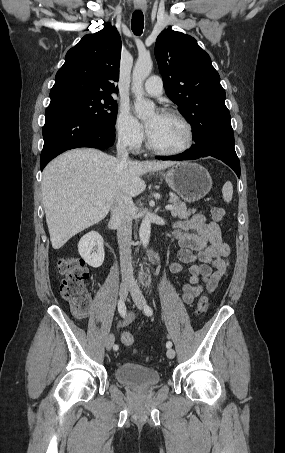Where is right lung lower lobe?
Listing matches in <instances>:
<instances>
[{"label": "right lung lower lobe", "instance_id": "right-lung-lower-lobe-1", "mask_svg": "<svg viewBox=\"0 0 285 453\" xmlns=\"http://www.w3.org/2000/svg\"><path fill=\"white\" fill-rule=\"evenodd\" d=\"M43 138L41 170L66 150L79 147L108 149L115 141V133L97 128L73 106L51 100L45 112Z\"/></svg>", "mask_w": 285, "mask_h": 453}]
</instances>
